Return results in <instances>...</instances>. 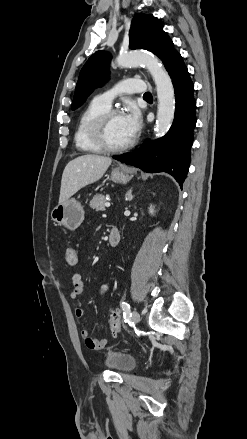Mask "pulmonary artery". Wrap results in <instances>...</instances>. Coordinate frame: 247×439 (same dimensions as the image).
Returning <instances> with one entry per match:
<instances>
[{"label":"pulmonary artery","mask_w":247,"mask_h":439,"mask_svg":"<svg viewBox=\"0 0 247 439\" xmlns=\"http://www.w3.org/2000/svg\"><path fill=\"white\" fill-rule=\"evenodd\" d=\"M146 84L138 78H126L112 89L98 95L95 99L107 107H111L114 98L122 93H144Z\"/></svg>","instance_id":"1"}]
</instances>
